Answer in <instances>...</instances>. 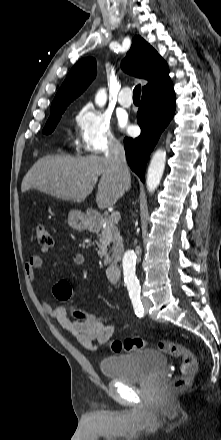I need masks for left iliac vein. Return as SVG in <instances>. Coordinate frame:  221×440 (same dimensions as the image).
Here are the masks:
<instances>
[{"instance_id": "1", "label": "left iliac vein", "mask_w": 221, "mask_h": 440, "mask_svg": "<svg viewBox=\"0 0 221 440\" xmlns=\"http://www.w3.org/2000/svg\"><path fill=\"white\" fill-rule=\"evenodd\" d=\"M143 304H144L145 312L148 313V310H149V300L148 299H144L143 300Z\"/></svg>"}]
</instances>
